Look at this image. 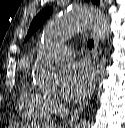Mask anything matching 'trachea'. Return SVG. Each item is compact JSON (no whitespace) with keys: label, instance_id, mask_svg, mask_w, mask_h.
Returning a JSON list of instances; mask_svg holds the SVG:
<instances>
[{"label":"trachea","instance_id":"obj_1","mask_svg":"<svg viewBox=\"0 0 125 128\" xmlns=\"http://www.w3.org/2000/svg\"><path fill=\"white\" fill-rule=\"evenodd\" d=\"M87 44H88V47L90 49H92V47L94 46V41L93 40H89Z\"/></svg>","mask_w":125,"mask_h":128}]
</instances>
